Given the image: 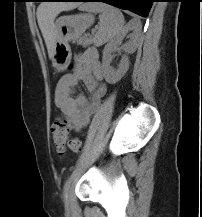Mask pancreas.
<instances>
[{
    "label": "pancreas",
    "mask_w": 202,
    "mask_h": 217,
    "mask_svg": "<svg viewBox=\"0 0 202 217\" xmlns=\"http://www.w3.org/2000/svg\"><path fill=\"white\" fill-rule=\"evenodd\" d=\"M93 42V39L87 38V37H82L79 40V43L82 44L84 47L89 46Z\"/></svg>",
    "instance_id": "1"
}]
</instances>
